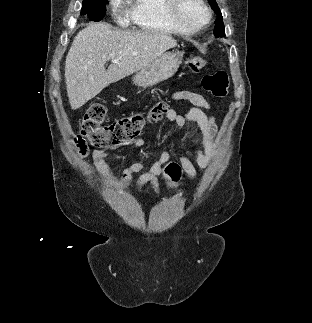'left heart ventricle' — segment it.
Masks as SVG:
<instances>
[{
    "label": "left heart ventricle",
    "instance_id": "obj_1",
    "mask_svg": "<svg viewBox=\"0 0 312 323\" xmlns=\"http://www.w3.org/2000/svg\"><path fill=\"white\" fill-rule=\"evenodd\" d=\"M178 14H182L183 18H206L207 7H201V2L197 0H182Z\"/></svg>",
    "mask_w": 312,
    "mask_h": 323
}]
</instances>
